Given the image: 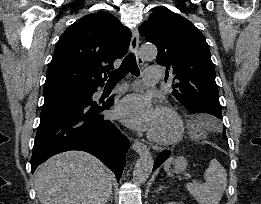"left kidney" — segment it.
<instances>
[{
  "instance_id": "left-kidney-1",
  "label": "left kidney",
  "mask_w": 261,
  "mask_h": 204,
  "mask_svg": "<svg viewBox=\"0 0 261 204\" xmlns=\"http://www.w3.org/2000/svg\"><path fill=\"white\" fill-rule=\"evenodd\" d=\"M166 204H183V203H181V202H168Z\"/></svg>"
}]
</instances>
